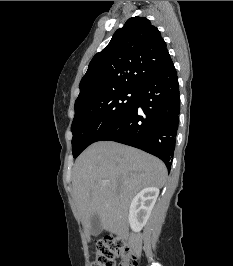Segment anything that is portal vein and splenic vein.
<instances>
[{"instance_id":"18ae733b","label":"portal vein and splenic vein","mask_w":233,"mask_h":266,"mask_svg":"<svg viewBox=\"0 0 233 266\" xmlns=\"http://www.w3.org/2000/svg\"><path fill=\"white\" fill-rule=\"evenodd\" d=\"M108 181L107 180H104L103 183L106 184Z\"/></svg>"}]
</instances>
